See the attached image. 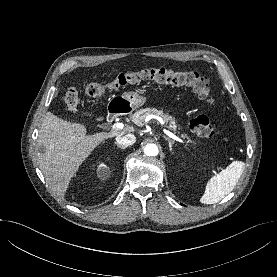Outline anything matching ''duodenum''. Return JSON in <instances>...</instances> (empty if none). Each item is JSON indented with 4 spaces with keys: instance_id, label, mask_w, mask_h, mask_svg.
<instances>
[{
    "instance_id": "obj_1",
    "label": "duodenum",
    "mask_w": 277,
    "mask_h": 277,
    "mask_svg": "<svg viewBox=\"0 0 277 277\" xmlns=\"http://www.w3.org/2000/svg\"><path fill=\"white\" fill-rule=\"evenodd\" d=\"M118 112L119 111L117 109H111L107 114V121L112 122L117 116Z\"/></svg>"
}]
</instances>
